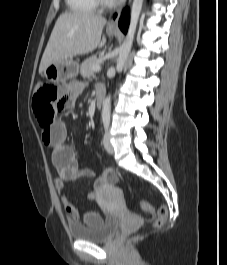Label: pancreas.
<instances>
[{"instance_id":"cf45deb5","label":"pancreas","mask_w":227,"mask_h":265,"mask_svg":"<svg viewBox=\"0 0 227 265\" xmlns=\"http://www.w3.org/2000/svg\"><path fill=\"white\" fill-rule=\"evenodd\" d=\"M100 65L99 59L94 55L84 60L80 66V73L83 77H91L94 74L92 67Z\"/></svg>"}]
</instances>
